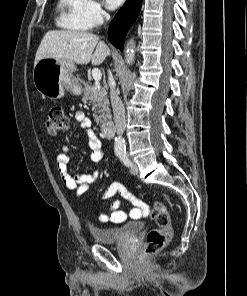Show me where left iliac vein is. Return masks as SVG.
<instances>
[{"label": "left iliac vein", "instance_id": "left-iliac-vein-1", "mask_svg": "<svg viewBox=\"0 0 247 296\" xmlns=\"http://www.w3.org/2000/svg\"><path fill=\"white\" fill-rule=\"evenodd\" d=\"M130 172L134 175H136L138 173V167L135 164H132L130 167Z\"/></svg>", "mask_w": 247, "mask_h": 296}]
</instances>
